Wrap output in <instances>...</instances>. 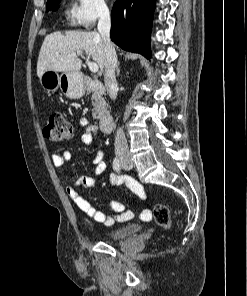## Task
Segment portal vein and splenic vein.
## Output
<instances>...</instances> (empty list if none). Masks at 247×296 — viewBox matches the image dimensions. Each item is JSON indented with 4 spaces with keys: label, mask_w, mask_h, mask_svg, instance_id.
<instances>
[{
    "label": "portal vein and splenic vein",
    "mask_w": 247,
    "mask_h": 296,
    "mask_svg": "<svg viewBox=\"0 0 247 296\" xmlns=\"http://www.w3.org/2000/svg\"><path fill=\"white\" fill-rule=\"evenodd\" d=\"M78 54H80V53H78ZM86 63H87V65H88L91 72H93V73L98 72L99 67H98L97 63L90 62L89 59H86Z\"/></svg>",
    "instance_id": "portal-vein-and-splenic-vein-1"
}]
</instances>
